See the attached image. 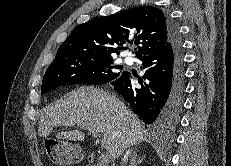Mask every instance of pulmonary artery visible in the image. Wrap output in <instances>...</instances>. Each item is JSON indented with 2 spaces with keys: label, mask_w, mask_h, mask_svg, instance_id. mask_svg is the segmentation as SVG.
Listing matches in <instances>:
<instances>
[{
  "label": "pulmonary artery",
  "mask_w": 231,
  "mask_h": 166,
  "mask_svg": "<svg viewBox=\"0 0 231 166\" xmlns=\"http://www.w3.org/2000/svg\"><path fill=\"white\" fill-rule=\"evenodd\" d=\"M125 62H126L127 64H132V60H131L130 58H126V59H125Z\"/></svg>",
  "instance_id": "e3ab8cb5"
}]
</instances>
